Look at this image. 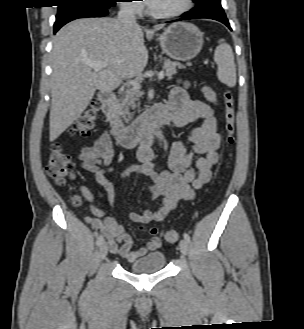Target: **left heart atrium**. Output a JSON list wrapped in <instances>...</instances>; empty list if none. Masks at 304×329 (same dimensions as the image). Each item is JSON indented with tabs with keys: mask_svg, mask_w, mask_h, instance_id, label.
Returning <instances> with one entry per match:
<instances>
[{
	"mask_svg": "<svg viewBox=\"0 0 304 329\" xmlns=\"http://www.w3.org/2000/svg\"><path fill=\"white\" fill-rule=\"evenodd\" d=\"M147 4H149L151 2V0H145Z\"/></svg>",
	"mask_w": 304,
	"mask_h": 329,
	"instance_id": "obj_1",
	"label": "left heart atrium"
}]
</instances>
